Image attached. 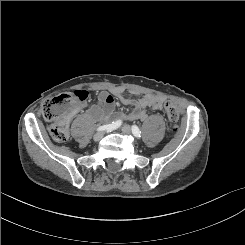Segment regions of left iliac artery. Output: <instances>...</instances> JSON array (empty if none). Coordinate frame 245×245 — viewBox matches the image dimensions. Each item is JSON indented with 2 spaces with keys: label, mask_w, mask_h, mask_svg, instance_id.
Wrapping results in <instances>:
<instances>
[{
  "label": "left iliac artery",
  "mask_w": 245,
  "mask_h": 245,
  "mask_svg": "<svg viewBox=\"0 0 245 245\" xmlns=\"http://www.w3.org/2000/svg\"><path fill=\"white\" fill-rule=\"evenodd\" d=\"M132 133L136 138L141 137V131L139 130L138 126H136V125L132 126Z\"/></svg>",
  "instance_id": "left-iliac-artery-1"
}]
</instances>
